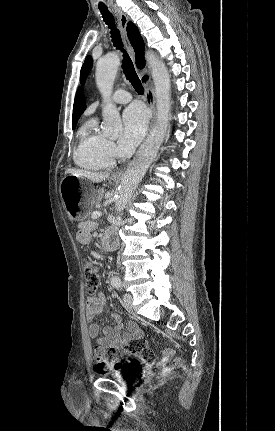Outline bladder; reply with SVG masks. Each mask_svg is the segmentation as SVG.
Returning <instances> with one entry per match:
<instances>
[{
    "label": "bladder",
    "mask_w": 275,
    "mask_h": 431,
    "mask_svg": "<svg viewBox=\"0 0 275 431\" xmlns=\"http://www.w3.org/2000/svg\"><path fill=\"white\" fill-rule=\"evenodd\" d=\"M101 375L113 377L122 382L127 381L126 371L124 369H116L107 373H102Z\"/></svg>",
    "instance_id": "bladder-1"
}]
</instances>
